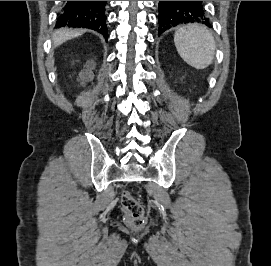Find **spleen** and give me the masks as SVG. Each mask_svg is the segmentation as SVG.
Instances as JSON below:
<instances>
[{
  "mask_svg": "<svg viewBox=\"0 0 271 266\" xmlns=\"http://www.w3.org/2000/svg\"><path fill=\"white\" fill-rule=\"evenodd\" d=\"M174 43L180 57L195 69L203 70L213 61L216 42L205 26L190 24L181 27L175 32Z\"/></svg>",
  "mask_w": 271,
  "mask_h": 266,
  "instance_id": "spleen-1",
  "label": "spleen"
}]
</instances>
